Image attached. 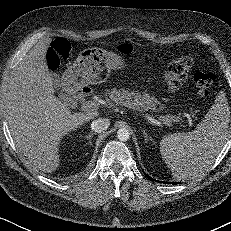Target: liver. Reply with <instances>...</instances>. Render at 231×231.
I'll list each match as a JSON object with an SVG mask.
<instances>
[{"label":"liver","mask_w":231,"mask_h":231,"mask_svg":"<svg viewBox=\"0 0 231 231\" xmlns=\"http://www.w3.org/2000/svg\"><path fill=\"white\" fill-rule=\"evenodd\" d=\"M50 42L40 40L14 68L6 93V118L18 150L47 173L59 166L63 136L99 116L98 111L72 114L54 95L46 63Z\"/></svg>","instance_id":"1"}]
</instances>
